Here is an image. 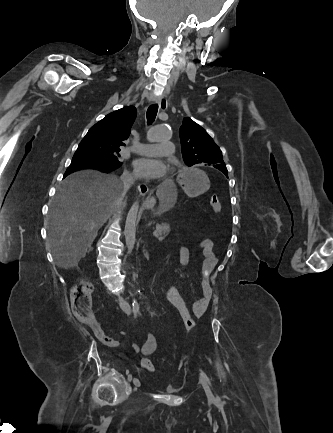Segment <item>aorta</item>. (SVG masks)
Listing matches in <instances>:
<instances>
[{
	"instance_id": "aorta-1",
	"label": "aorta",
	"mask_w": 333,
	"mask_h": 433,
	"mask_svg": "<svg viewBox=\"0 0 333 433\" xmlns=\"http://www.w3.org/2000/svg\"><path fill=\"white\" fill-rule=\"evenodd\" d=\"M147 138L151 142L166 143L172 139V132L166 126L157 125L150 128V130L147 133ZM138 211H139V201H136L132 204L127 214L126 223H125L124 235H125V241H126L128 253L132 252L136 242L135 232L137 226Z\"/></svg>"
}]
</instances>
